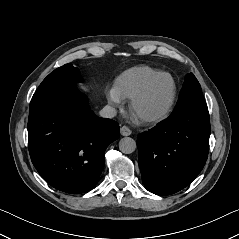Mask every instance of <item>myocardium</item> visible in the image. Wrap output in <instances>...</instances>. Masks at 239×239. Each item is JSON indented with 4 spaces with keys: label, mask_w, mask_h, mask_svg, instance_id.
Wrapping results in <instances>:
<instances>
[{
    "label": "myocardium",
    "mask_w": 239,
    "mask_h": 239,
    "mask_svg": "<svg viewBox=\"0 0 239 239\" xmlns=\"http://www.w3.org/2000/svg\"><path fill=\"white\" fill-rule=\"evenodd\" d=\"M161 77H167L172 84V91H171V95L168 99V101L166 102V104L157 112H154L152 114H147V115H143L140 116L139 118L146 123H151V122H156L159 121L161 119H163L171 110L176 95H177V85H176V81L174 80V78L167 72H158L156 75H154L149 81H147L143 87L141 89H139L131 98H130V102H129V108L131 111H133L134 107L136 106V104L147 94V92L149 91V89L151 88V86Z\"/></svg>",
    "instance_id": "1"
}]
</instances>
